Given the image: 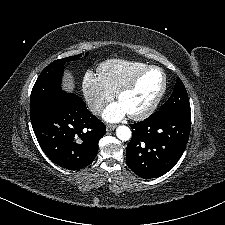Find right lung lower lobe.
Returning <instances> with one entry per match:
<instances>
[{
	"instance_id": "98d812e1",
	"label": "right lung lower lobe",
	"mask_w": 225,
	"mask_h": 225,
	"mask_svg": "<svg viewBox=\"0 0 225 225\" xmlns=\"http://www.w3.org/2000/svg\"><path fill=\"white\" fill-rule=\"evenodd\" d=\"M31 124L40 147L57 165L78 170L98 152L106 128L77 95L61 92L30 107Z\"/></svg>"
}]
</instances>
